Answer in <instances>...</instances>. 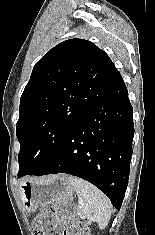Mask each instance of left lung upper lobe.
Segmentation results:
<instances>
[{
  "label": "left lung upper lobe",
  "mask_w": 155,
  "mask_h": 235,
  "mask_svg": "<svg viewBox=\"0 0 155 235\" xmlns=\"http://www.w3.org/2000/svg\"><path fill=\"white\" fill-rule=\"evenodd\" d=\"M116 70L103 50L84 39L58 44L34 65L16 124L19 177L50 161Z\"/></svg>",
  "instance_id": "1"
}]
</instances>
